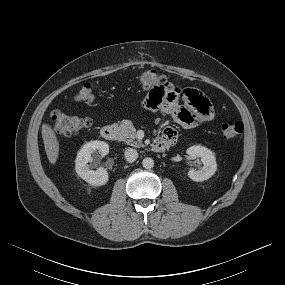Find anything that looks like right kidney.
Listing matches in <instances>:
<instances>
[{
  "label": "right kidney",
  "instance_id": "1",
  "mask_svg": "<svg viewBox=\"0 0 285 285\" xmlns=\"http://www.w3.org/2000/svg\"><path fill=\"white\" fill-rule=\"evenodd\" d=\"M109 152V145L103 141H90L84 144L79 150L75 160L76 173L90 185L102 186L109 180L108 172L100 167L97 170H91L88 163L93 161L92 154L99 153L100 156H106Z\"/></svg>",
  "mask_w": 285,
  "mask_h": 285
}]
</instances>
